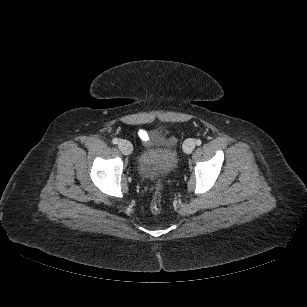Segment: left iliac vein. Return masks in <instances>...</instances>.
Segmentation results:
<instances>
[{
    "label": "left iliac vein",
    "instance_id": "1",
    "mask_svg": "<svg viewBox=\"0 0 307 307\" xmlns=\"http://www.w3.org/2000/svg\"><path fill=\"white\" fill-rule=\"evenodd\" d=\"M196 146L194 139L189 138L184 141L183 150L186 154H191Z\"/></svg>",
    "mask_w": 307,
    "mask_h": 307
}]
</instances>
